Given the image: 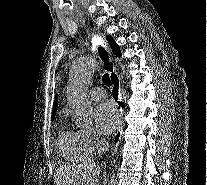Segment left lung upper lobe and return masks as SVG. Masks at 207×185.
Here are the masks:
<instances>
[{
  "mask_svg": "<svg viewBox=\"0 0 207 185\" xmlns=\"http://www.w3.org/2000/svg\"><path fill=\"white\" fill-rule=\"evenodd\" d=\"M111 48L113 49L114 53L118 56L121 55V51L119 49V46L115 43V41L113 40V38L110 35L106 36Z\"/></svg>",
  "mask_w": 207,
  "mask_h": 185,
  "instance_id": "left-lung-upper-lobe-1",
  "label": "left lung upper lobe"
}]
</instances>
